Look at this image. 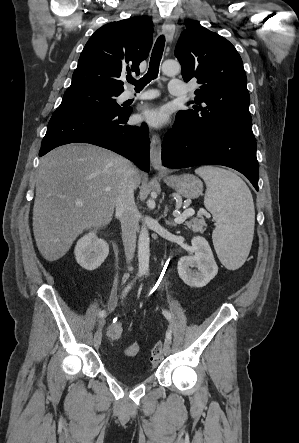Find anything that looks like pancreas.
Segmentation results:
<instances>
[{"label": "pancreas", "instance_id": "pancreas-1", "mask_svg": "<svg viewBox=\"0 0 299 443\" xmlns=\"http://www.w3.org/2000/svg\"><path fill=\"white\" fill-rule=\"evenodd\" d=\"M185 225L187 226V228L191 229L194 232H200L203 233L205 231V220L204 218L200 217V218H191L189 221H187L185 223Z\"/></svg>", "mask_w": 299, "mask_h": 443}]
</instances>
